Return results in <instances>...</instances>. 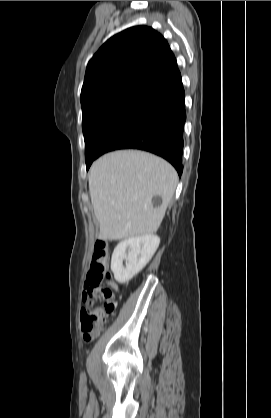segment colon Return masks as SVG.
Here are the masks:
<instances>
[{
	"label": "colon",
	"instance_id": "1",
	"mask_svg": "<svg viewBox=\"0 0 271 418\" xmlns=\"http://www.w3.org/2000/svg\"><path fill=\"white\" fill-rule=\"evenodd\" d=\"M104 282H111L108 272V247L104 241H97L87 275L89 289L83 296L85 307L81 311V327L86 341H91L97 335L116 308L114 294L111 289L102 287ZM97 296L102 303L93 307Z\"/></svg>",
	"mask_w": 271,
	"mask_h": 418
}]
</instances>
